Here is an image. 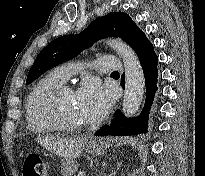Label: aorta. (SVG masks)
<instances>
[{"mask_svg":"<svg viewBox=\"0 0 205 176\" xmlns=\"http://www.w3.org/2000/svg\"><path fill=\"white\" fill-rule=\"evenodd\" d=\"M107 44L122 58L125 67V91L122 112L133 116L139 109L145 89L144 74L135 52L121 39H108Z\"/></svg>","mask_w":205,"mask_h":176,"instance_id":"aorta-1","label":"aorta"}]
</instances>
